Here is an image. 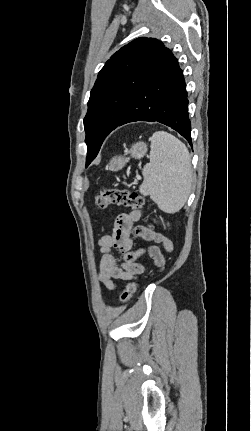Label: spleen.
I'll use <instances>...</instances> for the list:
<instances>
[{"label":"spleen","mask_w":251,"mask_h":431,"mask_svg":"<svg viewBox=\"0 0 251 431\" xmlns=\"http://www.w3.org/2000/svg\"><path fill=\"white\" fill-rule=\"evenodd\" d=\"M142 174L140 193L150 195L162 211L173 214L184 206L193 172L189 151L179 139L165 131L155 132L151 138L150 162Z\"/></svg>","instance_id":"obj_1"}]
</instances>
